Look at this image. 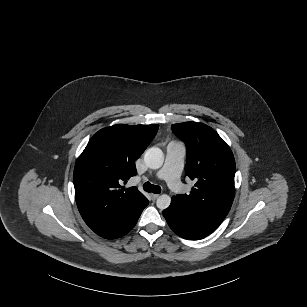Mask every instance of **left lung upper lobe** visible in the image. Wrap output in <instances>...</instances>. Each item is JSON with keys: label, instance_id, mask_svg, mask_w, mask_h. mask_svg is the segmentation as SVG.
I'll return each mask as SVG.
<instances>
[{"label": "left lung upper lobe", "instance_id": "5c2ea615", "mask_svg": "<svg viewBox=\"0 0 307 307\" xmlns=\"http://www.w3.org/2000/svg\"><path fill=\"white\" fill-rule=\"evenodd\" d=\"M187 147L185 173L195 180L189 195L173 196L200 221L217 228L235 194V160L229 146L211 127L195 122L171 126Z\"/></svg>", "mask_w": 307, "mask_h": 307}]
</instances>
